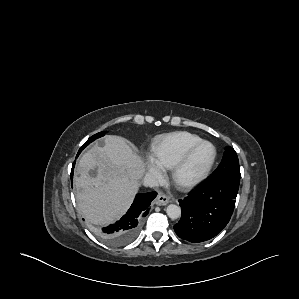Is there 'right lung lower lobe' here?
Masks as SVG:
<instances>
[{"label":"right lung lower lobe","instance_id":"right-lung-lower-lobe-1","mask_svg":"<svg viewBox=\"0 0 299 299\" xmlns=\"http://www.w3.org/2000/svg\"><path fill=\"white\" fill-rule=\"evenodd\" d=\"M74 164L75 162L72 166L71 180L73 178ZM156 195V192L137 194L126 215L115 224L103 228L100 234L101 237L112 245H123L130 242L138 232L142 218L148 214L149 206Z\"/></svg>","mask_w":299,"mask_h":299}]
</instances>
